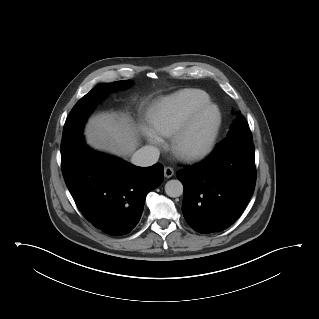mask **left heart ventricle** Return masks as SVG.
Listing matches in <instances>:
<instances>
[{
	"label": "left heart ventricle",
	"mask_w": 319,
	"mask_h": 319,
	"mask_svg": "<svg viewBox=\"0 0 319 319\" xmlns=\"http://www.w3.org/2000/svg\"><path fill=\"white\" fill-rule=\"evenodd\" d=\"M217 119L218 115L214 109L210 108L205 111L198 119L188 143L192 146L203 144L214 128Z\"/></svg>",
	"instance_id": "1"
}]
</instances>
